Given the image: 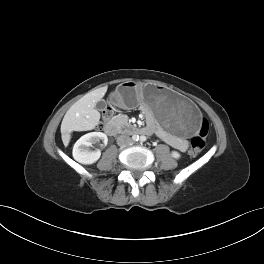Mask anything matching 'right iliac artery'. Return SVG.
<instances>
[{"instance_id": "right-iliac-artery-1", "label": "right iliac artery", "mask_w": 264, "mask_h": 264, "mask_svg": "<svg viewBox=\"0 0 264 264\" xmlns=\"http://www.w3.org/2000/svg\"><path fill=\"white\" fill-rule=\"evenodd\" d=\"M132 138H133L134 141H138L139 140V136L138 135H134Z\"/></svg>"}]
</instances>
